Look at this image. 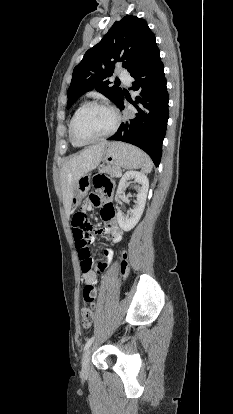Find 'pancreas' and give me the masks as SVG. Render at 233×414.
I'll return each instance as SVG.
<instances>
[{"label":"pancreas","mask_w":233,"mask_h":414,"mask_svg":"<svg viewBox=\"0 0 233 414\" xmlns=\"http://www.w3.org/2000/svg\"><path fill=\"white\" fill-rule=\"evenodd\" d=\"M102 172H105L107 174H109L111 177H120L121 176V170L119 168H111V167H106L104 169H102Z\"/></svg>","instance_id":"obj_1"}]
</instances>
